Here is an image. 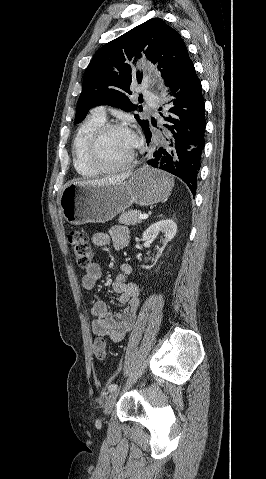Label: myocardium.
<instances>
[{"label":"myocardium","mask_w":266,"mask_h":479,"mask_svg":"<svg viewBox=\"0 0 266 479\" xmlns=\"http://www.w3.org/2000/svg\"><path fill=\"white\" fill-rule=\"evenodd\" d=\"M113 130H124L130 132L135 138V144L129 157L125 162L115 166H107L99 160L98 147L104 135ZM139 146L140 139L127 126L120 123H104L103 125L98 127L91 135L86 148V159L89 165L99 173L118 172L121 170L128 169L132 165Z\"/></svg>","instance_id":"f54148a6"}]
</instances>
